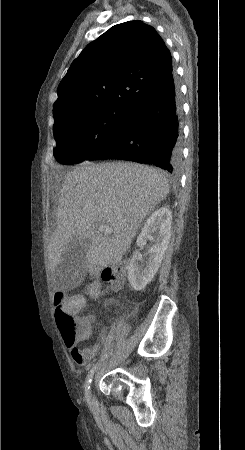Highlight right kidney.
Masks as SVG:
<instances>
[{
  "label": "right kidney",
  "mask_w": 245,
  "mask_h": 450,
  "mask_svg": "<svg viewBox=\"0 0 245 450\" xmlns=\"http://www.w3.org/2000/svg\"><path fill=\"white\" fill-rule=\"evenodd\" d=\"M172 212L168 207L157 209L146 221L137 238V246L153 244L148 250V258L143 260L139 250L133 254L128 266V280L136 291L143 290L158 271L171 237Z\"/></svg>",
  "instance_id": "right-kidney-1"
}]
</instances>
